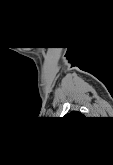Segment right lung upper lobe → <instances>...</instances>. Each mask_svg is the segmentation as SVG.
<instances>
[{"label":"right lung upper lobe","mask_w":113,"mask_h":165,"mask_svg":"<svg viewBox=\"0 0 113 165\" xmlns=\"http://www.w3.org/2000/svg\"><path fill=\"white\" fill-rule=\"evenodd\" d=\"M65 118L74 117V118H83V114L77 111H72L64 116Z\"/></svg>","instance_id":"cb5924a9"}]
</instances>
